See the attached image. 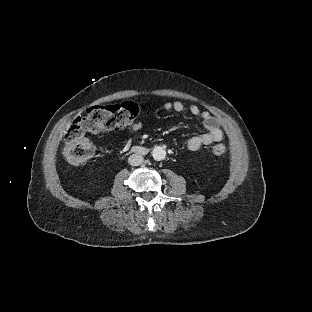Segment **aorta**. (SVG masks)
I'll use <instances>...</instances> for the list:
<instances>
[{"mask_svg": "<svg viewBox=\"0 0 312 312\" xmlns=\"http://www.w3.org/2000/svg\"><path fill=\"white\" fill-rule=\"evenodd\" d=\"M152 156L156 161L164 160L166 158V151L162 146H156L152 151Z\"/></svg>", "mask_w": 312, "mask_h": 312, "instance_id": "obj_1", "label": "aorta"}]
</instances>
